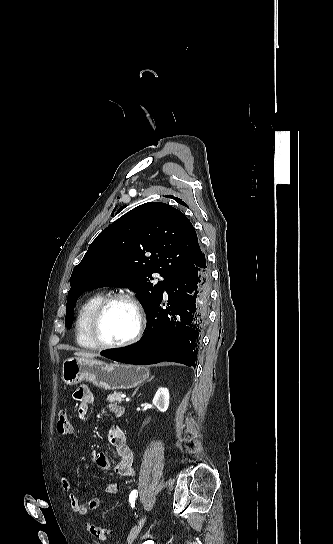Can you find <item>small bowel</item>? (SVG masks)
Here are the masks:
<instances>
[{"label": "small bowel", "instance_id": "1", "mask_svg": "<svg viewBox=\"0 0 333 544\" xmlns=\"http://www.w3.org/2000/svg\"><path fill=\"white\" fill-rule=\"evenodd\" d=\"M74 398L77 401V414L80 419H85L89 412L90 404L94 401V396L90 389L82 385L74 393ZM109 409L116 415L121 416L124 412L123 408L115 403L109 405ZM107 440L114 448L119 460L114 466V472L122 477H132L133 470V452L126 442V437L123 430L114 425L107 432ZM96 464L101 470H108L111 467V462L106 453L101 452L97 455ZM64 487L69 495L70 506L72 510L81 516L86 515L90 510H95L100 506V498L92 497L86 503H83L78 498L73 486L67 480H63ZM119 491V486L116 483H110L105 488L106 495H115Z\"/></svg>", "mask_w": 333, "mask_h": 544}]
</instances>
